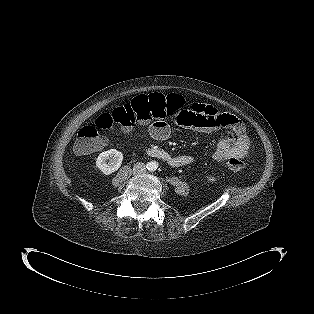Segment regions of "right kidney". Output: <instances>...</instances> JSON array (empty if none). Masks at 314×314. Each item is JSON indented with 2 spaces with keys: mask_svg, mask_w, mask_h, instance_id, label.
I'll return each mask as SVG.
<instances>
[{
  "mask_svg": "<svg viewBox=\"0 0 314 314\" xmlns=\"http://www.w3.org/2000/svg\"><path fill=\"white\" fill-rule=\"evenodd\" d=\"M122 161L123 154L116 149H110L99 154L96 167L105 175H109L120 168Z\"/></svg>",
  "mask_w": 314,
  "mask_h": 314,
  "instance_id": "1",
  "label": "right kidney"
}]
</instances>
